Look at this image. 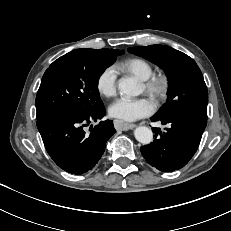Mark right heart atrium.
Wrapping results in <instances>:
<instances>
[{
  "label": "right heart atrium",
  "mask_w": 231,
  "mask_h": 231,
  "mask_svg": "<svg viewBox=\"0 0 231 231\" xmlns=\"http://www.w3.org/2000/svg\"><path fill=\"white\" fill-rule=\"evenodd\" d=\"M98 92L105 97H112L117 91V70L113 66L104 68L96 80Z\"/></svg>",
  "instance_id": "d8ad5b80"
}]
</instances>
